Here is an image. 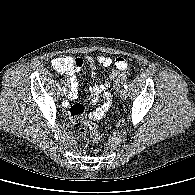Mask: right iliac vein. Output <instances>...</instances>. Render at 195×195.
Returning a JSON list of instances; mask_svg holds the SVG:
<instances>
[{
	"label": "right iliac vein",
	"instance_id": "obj_1",
	"mask_svg": "<svg viewBox=\"0 0 195 195\" xmlns=\"http://www.w3.org/2000/svg\"><path fill=\"white\" fill-rule=\"evenodd\" d=\"M61 93L62 95L66 96L68 94L67 89L65 87H62Z\"/></svg>",
	"mask_w": 195,
	"mask_h": 195
}]
</instances>
